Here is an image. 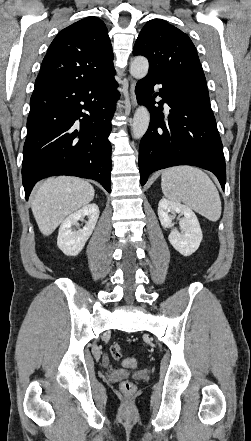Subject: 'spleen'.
<instances>
[{
    "label": "spleen",
    "instance_id": "spleen-1",
    "mask_svg": "<svg viewBox=\"0 0 251 441\" xmlns=\"http://www.w3.org/2000/svg\"><path fill=\"white\" fill-rule=\"evenodd\" d=\"M161 188L170 201L182 202L212 222L219 220L222 209L219 192L201 169L192 166L165 169Z\"/></svg>",
    "mask_w": 251,
    "mask_h": 441
}]
</instances>
